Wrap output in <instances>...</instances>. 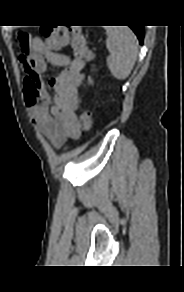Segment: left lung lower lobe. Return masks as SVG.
I'll list each match as a JSON object with an SVG mask.
<instances>
[{
  "label": "left lung lower lobe",
  "mask_w": 184,
  "mask_h": 292,
  "mask_svg": "<svg viewBox=\"0 0 184 292\" xmlns=\"http://www.w3.org/2000/svg\"><path fill=\"white\" fill-rule=\"evenodd\" d=\"M134 33L137 35L140 44L143 43L144 39V27L143 26H130Z\"/></svg>",
  "instance_id": "0a47b994"
}]
</instances>
